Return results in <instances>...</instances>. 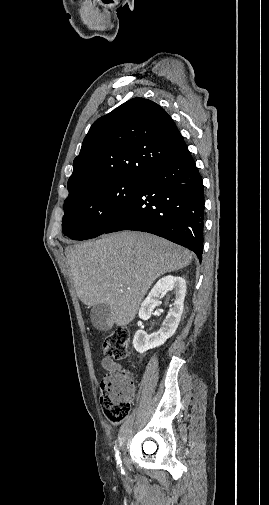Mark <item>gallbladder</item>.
Segmentation results:
<instances>
[{"label":"gallbladder","mask_w":269,"mask_h":505,"mask_svg":"<svg viewBox=\"0 0 269 505\" xmlns=\"http://www.w3.org/2000/svg\"><path fill=\"white\" fill-rule=\"evenodd\" d=\"M90 319L93 326L100 331H108L113 326L112 309L108 304H97L92 307Z\"/></svg>","instance_id":"bac80fb5"}]
</instances>
